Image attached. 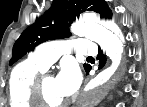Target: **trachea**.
Masks as SVG:
<instances>
[{"mask_svg":"<svg viewBox=\"0 0 147 107\" xmlns=\"http://www.w3.org/2000/svg\"><path fill=\"white\" fill-rule=\"evenodd\" d=\"M87 58H88V59H93V57H91V56H88Z\"/></svg>","mask_w":147,"mask_h":107,"instance_id":"obj_1","label":"trachea"}]
</instances>
